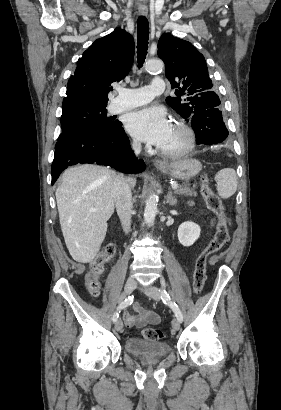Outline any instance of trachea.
Wrapping results in <instances>:
<instances>
[{
  "label": "trachea",
  "instance_id": "1",
  "mask_svg": "<svg viewBox=\"0 0 281 410\" xmlns=\"http://www.w3.org/2000/svg\"><path fill=\"white\" fill-rule=\"evenodd\" d=\"M137 33V60L138 67L141 68L147 55L149 39V24L144 16H140L137 20Z\"/></svg>",
  "mask_w": 281,
  "mask_h": 410
}]
</instances>
